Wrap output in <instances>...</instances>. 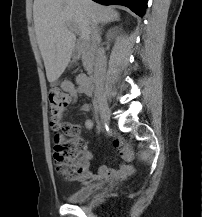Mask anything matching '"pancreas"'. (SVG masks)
<instances>
[{
	"instance_id": "pancreas-1",
	"label": "pancreas",
	"mask_w": 202,
	"mask_h": 217,
	"mask_svg": "<svg viewBox=\"0 0 202 217\" xmlns=\"http://www.w3.org/2000/svg\"><path fill=\"white\" fill-rule=\"evenodd\" d=\"M84 56H85V52H84ZM84 66H85L86 68H89V67H90V64H89V62H88V60H87L86 57H84Z\"/></svg>"
}]
</instances>
